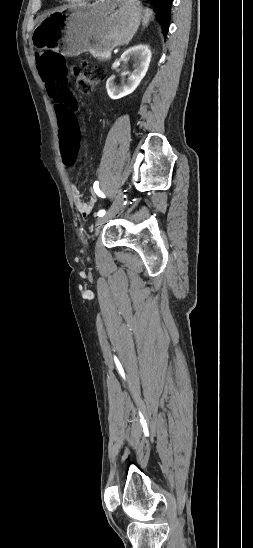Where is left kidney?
Masks as SVG:
<instances>
[{
    "mask_svg": "<svg viewBox=\"0 0 253 548\" xmlns=\"http://www.w3.org/2000/svg\"><path fill=\"white\" fill-rule=\"evenodd\" d=\"M152 53L148 45L140 44L125 51L120 60L128 61L130 58L136 60L135 70L128 77L126 83L116 85L115 78L109 77L106 81V89L109 97L113 100L120 99L131 94L140 84L147 73Z\"/></svg>",
    "mask_w": 253,
    "mask_h": 548,
    "instance_id": "5707ae66",
    "label": "left kidney"
}]
</instances>
